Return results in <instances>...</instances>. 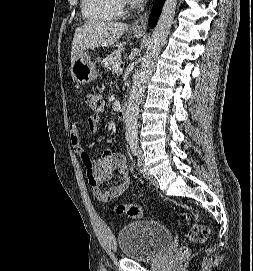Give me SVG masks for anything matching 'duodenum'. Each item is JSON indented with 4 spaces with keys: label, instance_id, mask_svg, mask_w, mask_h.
<instances>
[{
    "label": "duodenum",
    "instance_id": "1",
    "mask_svg": "<svg viewBox=\"0 0 253 271\" xmlns=\"http://www.w3.org/2000/svg\"><path fill=\"white\" fill-rule=\"evenodd\" d=\"M127 113V106L125 104L121 105L119 110H118V118L119 119H124L126 117Z\"/></svg>",
    "mask_w": 253,
    "mask_h": 271
}]
</instances>
